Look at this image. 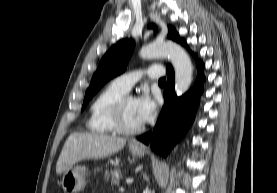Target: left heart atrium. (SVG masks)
Masks as SVG:
<instances>
[{
    "label": "left heart atrium",
    "instance_id": "left-heart-atrium-1",
    "mask_svg": "<svg viewBox=\"0 0 277 193\" xmlns=\"http://www.w3.org/2000/svg\"><path fill=\"white\" fill-rule=\"evenodd\" d=\"M157 104L155 99L149 94L148 91L142 92L135 99V110L139 120L142 123L148 122L156 114Z\"/></svg>",
    "mask_w": 277,
    "mask_h": 193
}]
</instances>
